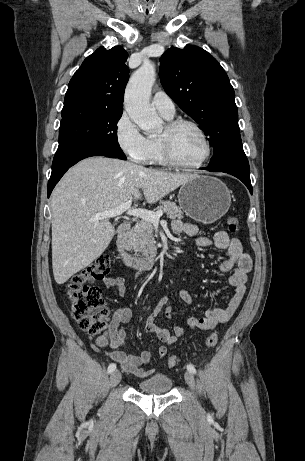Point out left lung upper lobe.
<instances>
[{
  "label": "left lung upper lobe",
  "instance_id": "5c2ea615",
  "mask_svg": "<svg viewBox=\"0 0 305 461\" xmlns=\"http://www.w3.org/2000/svg\"><path fill=\"white\" fill-rule=\"evenodd\" d=\"M160 62L164 90L209 137L214 155L208 167L237 165L250 170L242 148L234 89L217 60L204 49L187 45L168 49Z\"/></svg>",
  "mask_w": 305,
  "mask_h": 461
}]
</instances>
